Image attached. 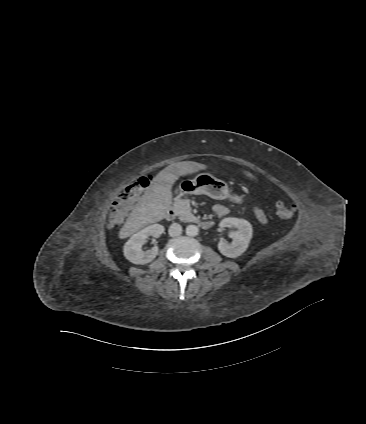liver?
I'll list each match as a JSON object with an SVG mask.
<instances>
[{"label":"liver","mask_w":366,"mask_h":424,"mask_svg":"<svg viewBox=\"0 0 366 424\" xmlns=\"http://www.w3.org/2000/svg\"><path fill=\"white\" fill-rule=\"evenodd\" d=\"M206 168V165L194 161H182L160 171L126 219L119 238L125 239L146 225L161 221L172 205L173 184L180 176ZM247 176L255 178L251 173H247Z\"/></svg>","instance_id":"obj_1"}]
</instances>
